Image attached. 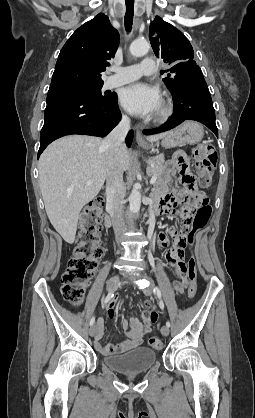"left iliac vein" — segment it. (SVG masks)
Instances as JSON below:
<instances>
[{"label":"left iliac vein","mask_w":255,"mask_h":418,"mask_svg":"<svg viewBox=\"0 0 255 418\" xmlns=\"http://www.w3.org/2000/svg\"><path fill=\"white\" fill-rule=\"evenodd\" d=\"M139 277H141V275H139V274H135V275H131V276H130V278H131V279H133V280H135V279H137V278H139ZM152 291H153V289H152V287H151V286H149V287H147V288L143 289V293H144L145 295H151V294H152ZM169 332H170V330H169V327H168V326H163V327L161 328V333H162V335H164V336H168V335H169Z\"/></svg>","instance_id":"4c4485c4"}]
</instances>
